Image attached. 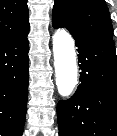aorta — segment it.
<instances>
[{"label": "aorta", "mask_w": 117, "mask_h": 136, "mask_svg": "<svg viewBox=\"0 0 117 136\" xmlns=\"http://www.w3.org/2000/svg\"><path fill=\"white\" fill-rule=\"evenodd\" d=\"M52 42L58 92L62 97H69L78 81L75 42L65 29H57Z\"/></svg>", "instance_id": "obj_1"}]
</instances>
